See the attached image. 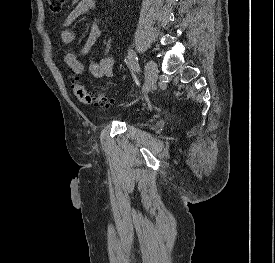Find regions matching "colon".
I'll list each match as a JSON object with an SVG mask.
<instances>
[{
    "label": "colon",
    "mask_w": 275,
    "mask_h": 263,
    "mask_svg": "<svg viewBox=\"0 0 275 263\" xmlns=\"http://www.w3.org/2000/svg\"><path fill=\"white\" fill-rule=\"evenodd\" d=\"M64 3L65 0H46L48 9L53 12H60ZM70 87L74 96L86 105L106 107L113 103V100L107 95H96L89 91L85 84L74 76L71 79Z\"/></svg>",
    "instance_id": "colon-1"
}]
</instances>
